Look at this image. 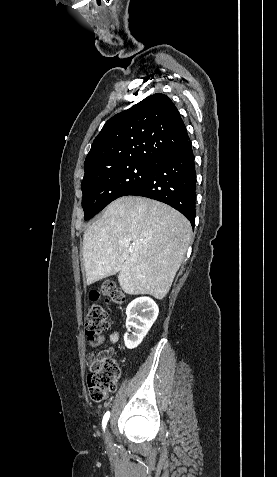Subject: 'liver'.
<instances>
[{
    "label": "liver",
    "instance_id": "6515ba94",
    "mask_svg": "<svg viewBox=\"0 0 277 477\" xmlns=\"http://www.w3.org/2000/svg\"><path fill=\"white\" fill-rule=\"evenodd\" d=\"M190 222L162 202L124 196L83 235L87 283L118 273L122 290L163 299L191 242Z\"/></svg>",
    "mask_w": 277,
    "mask_h": 477
}]
</instances>
